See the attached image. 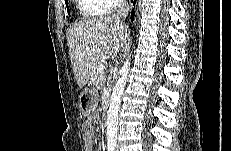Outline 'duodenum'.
I'll return each mask as SVG.
<instances>
[{
    "label": "duodenum",
    "mask_w": 231,
    "mask_h": 151,
    "mask_svg": "<svg viewBox=\"0 0 231 151\" xmlns=\"http://www.w3.org/2000/svg\"><path fill=\"white\" fill-rule=\"evenodd\" d=\"M110 107V95L106 94L104 97L103 102V109H102V115H103V122L106 123L107 115Z\"/></svg>",
    "instance_id": "410a0bca"
}]
</instances>
